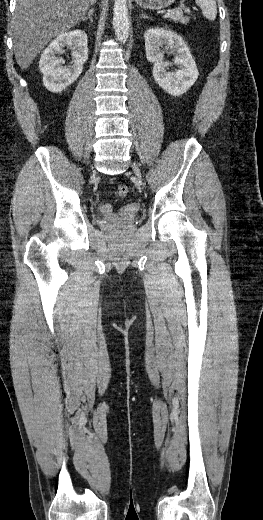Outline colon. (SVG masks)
<instances>
[{"label":"colon","instance_id":"colon-1","mask_svg":"<svg viewBox=\"0 0 263 520\" xmlns=\"http://www.w3.org/2000/svg\"><path fill=\"white\" fill-rule=\"evenodd\" d=\"M129 194V187L125 184H121L116 188V195L120 198H124Z\"/></svg>","mask_w":263,"mask_h":520}]
</instances>
